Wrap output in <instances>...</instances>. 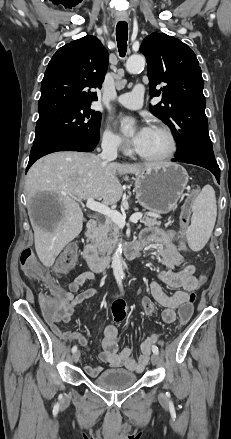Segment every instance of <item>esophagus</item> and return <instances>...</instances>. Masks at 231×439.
<instances>
[{"mask_svg": "<svg viewBox=\"0 0 231 439\" xmlns=\"http://www.w3.org/2000/svg\"><path fill=\"white\" fill-rule=\"evenodd\" d=\"M117 19L120 21H127L129 19V16L127 14L123 13V14L118 15Z\"/></svg>", "mask_w": 231, "mask_h": 439, "instance_id": "esophagus-1", "label": "esophagus"}]
</instances>
